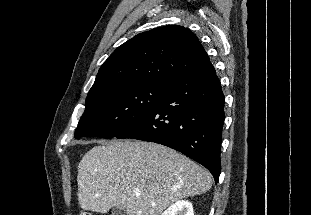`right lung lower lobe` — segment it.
Segmentation results:
<instances>
[{"mask_svg":"<svg viewBox=\"0 0 311 215\" xmlns=\"http://www.w3.org/2000/svg\"><path fill=\"white\" fill-rule=\"evenodd\" d=\"M225 97L212 64L166 84L159 104L116 138L173 148L206 167L218 182Z\"/></svg>","mask_w":311,"mask_h":215,"instance_id":"right-lung-lower-lobe-1","label":"right lung lower lobe"}]
</instances>
